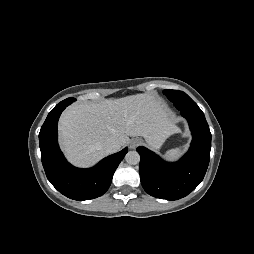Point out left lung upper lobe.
Here are the masks:
<instances>
[{
  "instance_id": "obj_1",
  "label": "left lung upper lobe",
  "mask_w": 254,
  "mask_h": 254,
  "mask_svg": "<svg viewBox=\"0 0 254 254\" xmlns=\"http://www.w3.org/2000/svg\"><path fill=\"white\" fill-rule=\"evenodd\" d=\"M164 94L171 100L175 107L182 111L202 112L198 105L184 92L178 90H164Z\"/></svg>"
}]
</instances>
